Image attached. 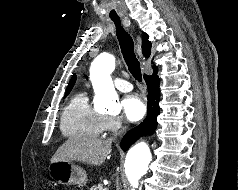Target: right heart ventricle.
<instances>
[{
    "label": "right heart ventricle",
    "mask_w": 238,
    "mask_h": 190,
    "mask_svg": "<svg viewBox=\"0 0 238 190\" xmlns=\"http://www.w3.org/2000/svg\"><path fill=\"white\" fill-rule=\"evenodd\" d=\"M106 116L92 108L85 92L76 93L61 117V131L69 137H98L105 131Z\"/></svg>",
    "instance_id": "e07e8e85"
}]
</instances>
